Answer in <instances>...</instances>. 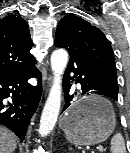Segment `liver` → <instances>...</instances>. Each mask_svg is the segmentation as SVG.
<instances>
[{"label":"liver","instance_id":"obj_1","mask_svg":"<svg viewBox=\"0 0 130 153\" xmlns=\"http://www.w3.org/2000/svg\"><path fill=\"white\" fill-rule=\"evenodd\" d=\"M16 148L14 133L0 126V153H13Z\"/></svg>","mask_w":130,"mask_h":153}]
</instances>
